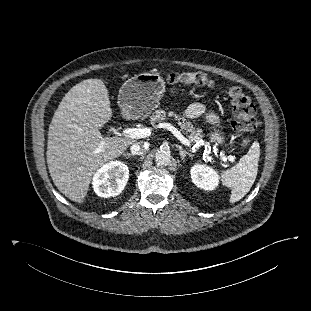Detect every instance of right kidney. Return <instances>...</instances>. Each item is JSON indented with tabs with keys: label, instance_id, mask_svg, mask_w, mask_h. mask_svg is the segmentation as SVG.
Instances as JSON below:
<instances>
[{
	"label": "right kidney",
	"instance_id": "1",
	"mask_svg": "<svg viewBox=\"0 0 311 311\" xmlns=\"http://www.w3.org/2000/svg\"><path fill=\"white\" fill-rule=\"evenodd\" d=\"M129 178V169L120 161L102 165L93 177V189L103 198L116 196L122 192Z\"/></svg>",
	"mask_w": 311,
	"mask_h": 311
}]
</instances>
